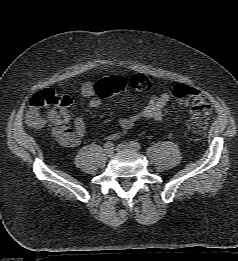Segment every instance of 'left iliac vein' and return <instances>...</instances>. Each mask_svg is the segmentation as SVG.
<instances>
[{"mask_svg": "<svg viewBox=\"0 0 238 261\" xmlns=\"http://www.w3.org/2000/svg\"><path fill=\"white\" fill-rule=\"evenodd\" d=\"M116 150L121 151V150H136V149H134L128 143H120V144L117 145Z\"/></svg>", "mask_w": 238, "mask_h": 261, "instance_id": "1", "label": "left iliac vein"}]
</instances>
